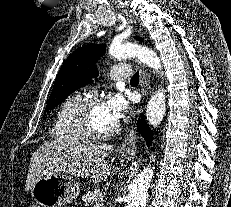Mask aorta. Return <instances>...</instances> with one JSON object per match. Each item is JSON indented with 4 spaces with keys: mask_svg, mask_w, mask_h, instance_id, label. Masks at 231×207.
Returning a JSON list of instances; mask_svg holds the SVG:
<instances>
[{
    "mask_svg": "<svg viewBox=\"0 0 231 207\" xmlns=\"http://www.w3.org/2000/svg\"><path fill=\"white\" fill-rule=\"evenodd\" d=\"M109 55L115 59L137 58L143 64L157 73L161 72L162 65L156 53L134 43L112 44ZM166 110V95L163 89H158L150 98L146 118L151 126L157 127ZM154 176V167L147 166L133 180L131 190L127 196L126 207H146L148 189Z\"/></svg>",
    "mask_w": 231,
    "mask_h": 207,
    "instance_id": "aorta-1",
    "label": "aorta"
}]
</instances>
